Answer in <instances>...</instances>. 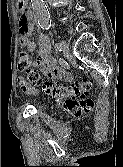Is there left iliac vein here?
<instances>
[{
  "instance_id": "left-iliac-vein-1",
  "label": "left iliac vein",
  "mask_w": 123,
  "mask_h": 167,
  "mask_svg": "<svg viewBox=\"0 0 123 167\" xmlns=\"http://www.w3.org/2000/svg\"><path fill=\"white\" fill-rule=\"evenodd\" d=\"M60 45H61V50H62L64 56H67L69 53V46H68L67 42L65 40H62L60 42Z\"/></svg>"
}]
</instances>
